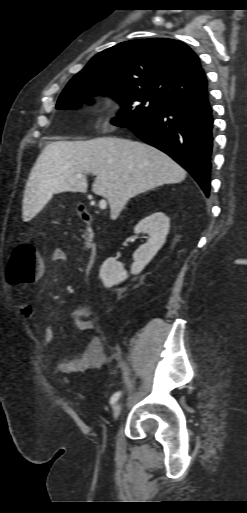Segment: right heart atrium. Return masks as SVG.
Masks as SVG:
<instances>
[{"label": "right heart atrium", "mask_w": 247, "mask_h": 513, "mask_svg": "<svg viewBox=\"0 0 247 513\" xmlns=\"http://www.w3.org/2000/svg\"><path fill=\"white\" fill-rule=\"evenodd\" d=\"M125 112V105L121 97L114 96L109 103L106 116L102 123V128L105 131L113 129L117 121L122 117Z\"/></svg>", "instance_id": "right-heart-atrium-1"}]
</instances>
